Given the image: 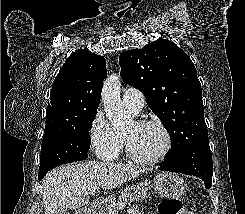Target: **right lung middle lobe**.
<instances>
[{
  "mask_svg": "<svg viewBox=\"0 0 245 214\" xmlns=\"http://www.w3.org/2000/svg\"><path fill=\"white\" fill-rule=\"evenodd\" d=\"M97 111H91L72 127L43 135L39 176L56 166L87 159L89 131Z\"/></svg>",
  "mask_w": 245,
  "mask_h": 214,
  "instance_id": "dd1d6c3e",
  "label": "right lung middle lobe"
}]
</instances>
